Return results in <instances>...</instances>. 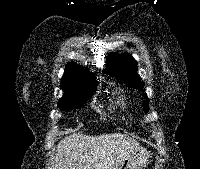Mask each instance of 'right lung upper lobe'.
I'll return each instance as SVG.
<instances>
[{
	"mask_svg": "<svg viewBox=\"0 0 200 169\" xmlns=\"http://www.w3.org/2000/svg\"><path fill=\"white\" fill-rule=\"evenodd\" d=\"M65 95L60 100L72 99L96 89V77L86 71L80 72L76 65L67 64L65 74L61 80Z\"/></svg>",
	"mask_w": 200,
	"mask_h": 169,
	"instance_id": "cb5924a9",
	"label": "right lung upper lobe"
}]
</instances>
